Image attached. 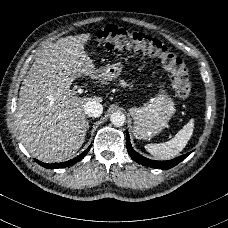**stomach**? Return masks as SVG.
<instances>
[{
	"label": "stomach",
	"mask_w": 228,
	"mask_h": 228,
	"mask_svg": "<svg viewBox=\"0 0 228 228\" xmlns=\"http://www.w3.org/2000/svg\"><path fill=\"white\" fill-rule=\"evenodd\" d=\"M123 64L116 61L106 67L98 69V78L113 81L119 78ZM164 82L159 83L158 91L150 97L143 106L129 108V113L134 119V135L143 140L161 133L177 112L173 98L165 89Z\"/></svg>",
	"instance_id": "0dacf381"
}]
</instances>
